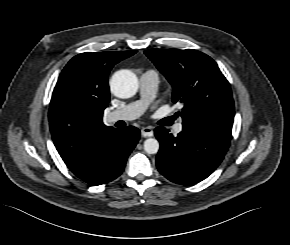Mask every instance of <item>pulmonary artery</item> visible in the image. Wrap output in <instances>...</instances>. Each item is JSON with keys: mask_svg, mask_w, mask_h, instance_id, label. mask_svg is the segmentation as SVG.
<instances>
[{"mask_svg": "<svg viewBox=\"0 0 290 245\" xmlns=\"http://www.w3.org/2000/svg\"><path fill=\"white\" fill-rule=\"evenodd\" d=\"M158 86L159 77L156 71L147 70L143 72L139 77L140 99L110 112L106 117L107 122L128 121L140 117L155 98ZM182 129V125L179 124L175 127L174 133L178 134Z\"/></svg>", "mask_w": 290, "mask_h": 245, "instance_id": "pulmonary-artery-1", "label": "pulmonary artery"}]
</instances>
